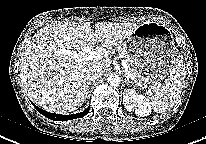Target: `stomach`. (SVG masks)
Wrapping results in <instances>:
<instances>
[{"label":"stomach","instance_id":"0dacf381","mask_svg":"<svg viewBox=\"0 0 206 144\" xmlns=\"http://www.w3.org/2000/svg\"><path fill=\"white\" fill-rule=\"evenodd\" d=\"M124 45L137 72L134 81L141 85L161 81L177 58L171 31L157 22L140 24Z\"/></svg>","mask_w":206,"mask_h":144}]
</instances>
